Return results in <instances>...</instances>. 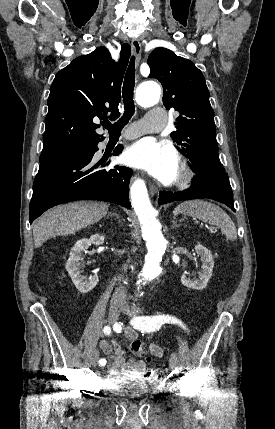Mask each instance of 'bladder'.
<instances>
[{
  "label": "bladder",
  "mask_w": 275,
  "mask_h": 429,
  "mask_svg": "<svg viewBox=\"0 0 275 429\" xmlns=\"http://www.w3.org/2000/svg\"><path fill=\"white\" fill-rule=\"evenodd\" d=\"M112 398H147L157 393V384H148V378L116 377L108 381Z\"/></svg>",
  "instance_id": "obj_1"
}]
</instances>
